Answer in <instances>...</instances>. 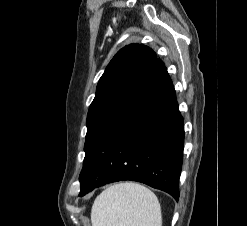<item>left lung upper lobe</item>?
Returning <instances> with one entry per match:
<instances>
[{"mask_svg":"<svg viewBox=\"0 0 247 226\" xmlns=\"http://www.w3.org/2000/svg\"><path fill=\"white\" fill-rule=\"evenodd\" d=\"M157 56L143 44H130L113 57L101 76L87 115L85 157L100 134L129 99Z\"/></svg>","mask_w":247,"mask_h":226,"instance_id":"1","label":"left lung upper lobe"}]
</instances>
